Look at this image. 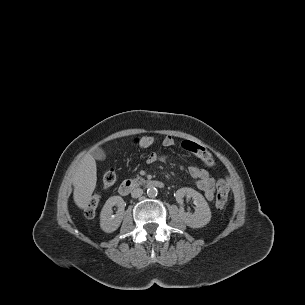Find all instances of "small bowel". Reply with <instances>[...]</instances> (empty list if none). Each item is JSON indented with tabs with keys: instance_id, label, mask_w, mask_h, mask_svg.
Instances as JSON below:
<instances>
[{
	"instance_id": "obj_1",
	"label": "small bowel",
	"mask_w": 305,
	"mask_h": 305,
	"mask_svg": "<svg viewBox=\"0 0 305 305\" xmlns=\"http://www.w3.org/2000/svg\"><path fill=\"white\" fill-rule=\"evenodd\" d=\"M175 144V139L172 136H166L162 145L166 148L172 147ZM181 147L198 157L206 165V168H200L197 166H192L189 168L190 176L195 180L196 187L203 192L205 198L208 201H212L215 193V180L210 174L209 169L214 166V158L212 154L206 150L204 147L189 141L185 140L181 143ZM166 157L159 155L157 153H150L147 157V163L152 164L157 161H165Z\"/></svg>"
}]
</instances>
